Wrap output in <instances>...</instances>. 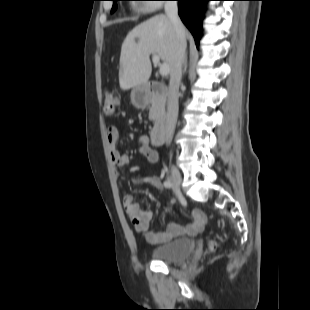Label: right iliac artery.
<instances>
[{
	"instance_id": "obj_1",
	"label": "right iliac artery",
	"mask_w": 310,
	"mask_h": 310,
	"mask_svg": "<svg viewBox=\"0 0 310 310\" xmlns=\"http://www.w3.org/2000/svg\"><path fill=\"white\" fill-rule=\"evenodd\" d=\"M164 186L167 188H171L173 186V183L171 182L170 179L165 180Z\"/></svg>"
}]
</instances>
